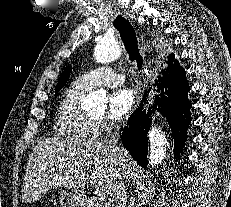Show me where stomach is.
<instances>
[{
    "label": "stomach",
    "mask_w": 231,
    "mask_h": 207,
    "mask_svg": "<svg viewBox=\"0 0 231 207\" xmlns=\"http://www.w3.org/2000/svg\"><path fill=\"white\" fill-rule=\"evenodd\" d=\"M59 203L62 207H79L82 199L78 191H64L60 194Z\"/></svg>",
    "instance_id": "0dacf381"
}]
</instances>
